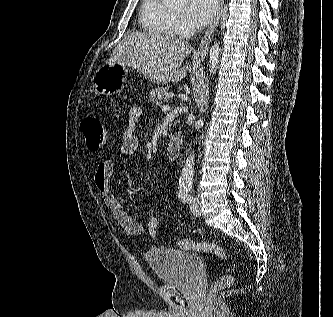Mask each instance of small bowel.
Masks as SVG:
<instances>
[{
	"mask_svg": "<svg viewBox=\"0 0 333 317\" xmlns=\"http://www.w3.org/2000/svg\"><path fill=\"white\" fill-rule=\"evenodd\" d=\"M141 114L142 109L139 105H134L129 109L128 124L120 139V154L122 156L133 155L138 150L139 141L135 135V128ZM114 167L115 162L111 158L101 161L96 167L95 185L113 219L129 234L140 235L144 230V223L127 213L111 189Z\"/></svg>",
	"mask_w": 333,
	"mask_h": 317,
	"instance_id": "small-bowel-1",
	"label": "small bowel"
}]
</instances>
